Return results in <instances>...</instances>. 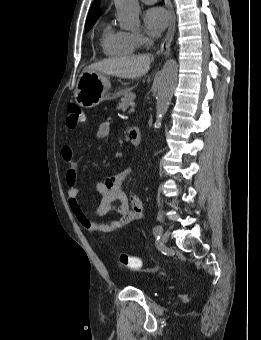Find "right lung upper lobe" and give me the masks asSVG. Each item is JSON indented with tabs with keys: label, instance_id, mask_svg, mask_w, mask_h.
Segmentation results:
<instances>
[{
	"label": "right lung upper lobe",
	"instance_id": "right-lung-upper-lobe-1",
	"mask_svg": "<svg viewBox=\"0 0 261 340\" xmlns=\"http://www.w3.org/2000/svg\"><path fill=\"white\" fill-rule=\"evenodd\" d=\"M99 13V0H95L90 8L86 23L96 21L99 17Z\"/></svg>",
	"mask_w": 261,
	"mask_h": 340
}]
</instances>
